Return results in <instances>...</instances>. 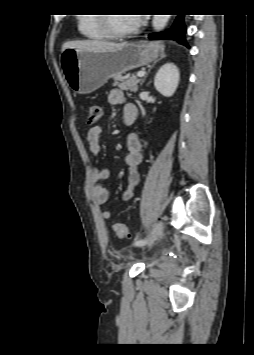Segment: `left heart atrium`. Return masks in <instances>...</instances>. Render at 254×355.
Listing matches in <instances>:
<instances>
[{
    "label": "left heart atrium",
    "mask_w": 254,
    "mask_h": 355,
    "mask_svg": "<svg viewBox=\"0 0 254 355\" xmlns=\"http://www.w3.org/2000/svg\"><path fill=\"white\" fill-rule=\"evenodd\" d=\"M144 16L145 15H142V14L134 15V20H135L136 25H140L142 23Z\"/></svg>",
    "instance_id": "left-heart-atrium-1"
}]
</instances>
